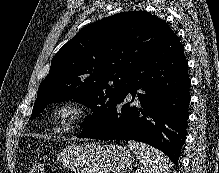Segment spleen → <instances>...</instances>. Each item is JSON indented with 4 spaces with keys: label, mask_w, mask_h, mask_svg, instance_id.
Segmentation results:
<instances>
[{
    "label": "spleen",
    "mask_w": 219,
    "mask_h": 173,
    "mask_svg": "<svg viewBox=\"0 0 219 173\" xmlns=\"http://www.w3.org/2000/svg\"><path fill=\"white\" fill-rule=\"evenodd\" d=\"M128 146L141 161L140 168L135 173H169L172 164L167 156L149 145L134 140L128 141Z\"/></svg>",
    "instance_id": "1"
}]
</instances>
